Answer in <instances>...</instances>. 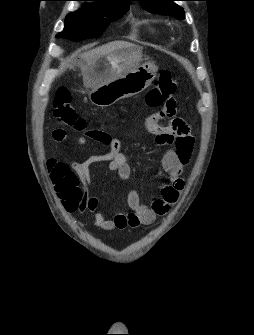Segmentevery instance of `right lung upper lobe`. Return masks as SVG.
Segmentation results:
<instances>
[{"label": "right lung upper lobe", "mask_w": 254, "mask_h": 335, "mask_svg": "<svg viewBox=\"0 0 254 335\" xmlns=\"http://www.w3.org/2000/svg\"><path fill=\"white\" fill-rule=\"evenodd\" d=\"M79 1H95L97 5H129L131 0H79Z\"/></svg>", "instance_id": "cb5924a9"}]
</instances>
